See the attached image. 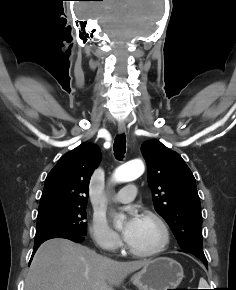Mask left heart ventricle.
<instances>
[{"label": "left heart ventricle", "mask_w": 236, "mask_h": 290, "mask_svg": "<svg viewBox=\"0 0 236 290\" xmlns=\"http://www.w3.org/2000/svg\"><path fill=\"white\" fill-rule=\"evenodd\" d=\"M160 239L161 233L157 225L153 221L141 217L136 234L128 244L136 249L148 250L155 247Z\"/></svg>", "instance_id": "left-heart-ventricle-1"}]
</instances>
